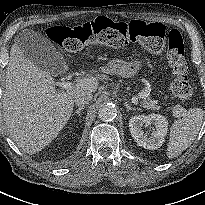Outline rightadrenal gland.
Instances as JSON below:
<instances>
[{"label": "right adrenal gland", "mask_w": 205, "mask_h": 205, "mask_svg": "<svg viewBox=\"0 0 205 205\" xmlns=\"http://www.w3.org/2000/svg\"><path fill=\"white\" fill-rule=\"evenodd\" d=\"M84 109V106H80L73 114L72 116H74L75 114L78 116H81V111Z\"/></svg>", "instance_id": "1"}]
</instances>
